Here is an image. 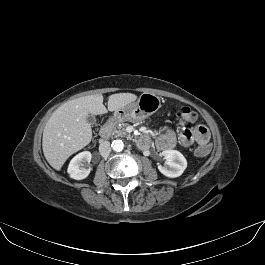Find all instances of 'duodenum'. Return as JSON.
<instances>
[{
	"label": "duodenum",
	"mask_w": 265,
	"mask_h": 265,
	"mask_svg": "<svg viewBox=\"0 0 265 265\" xmlns=\"http://www.w3.org/2000/svg\"><path fill=\"white\" fill-rule=\"evenodd\" d=\"M119 118L117 116L110 117L107 122L103 125V127L100 130V135L103 139H106L110 136L112 133V130L116 123L118 122ZM149 141L148 136L142 135L138 138V144L140 146H146Z\"/></svg>",
	"instance_id": "obj_1"
}]
</instances>
